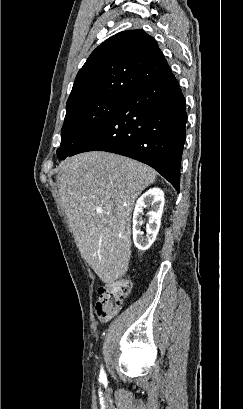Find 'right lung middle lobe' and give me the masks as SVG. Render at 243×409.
Returning a JSON list of instances; mask_svg holds the SVG:
<instances>
[{"label": "right lung middle lobe", "mask_w": 243, "mask_h": 409, "mask_svg": "<svg viewBox=\"0 0 243 409\" xmlns=\"http://www.w3.org/2000/svg\"><path fill=\"white\" fill-rule=\"evenodd\" d=\"M126 98H99L66 107L61 144L56 153L65 159L82 142L98 132L116 114Z\"/></svg>", "instance_id": "1"}]
</instances>
